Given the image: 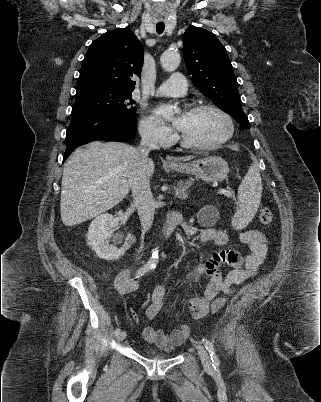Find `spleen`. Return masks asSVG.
Wrapping results in <instances>:
<instances>
[{
  "label": "spleen",
  "mask_w": 321,
  "mask_h": 402,
  "mask_svg": "<svg viewBox=\"0 0 321 402\" xmlns=\"http://www.w3.org/2000/svg\"><path fill=\"white\" fill-rule=\"evenodd\" d=\"M262 193V180L258 167L252 163L238 188L239 208L232 218L236 230L245 228L255 216Z\"/></svg>",
  "instance_id": "obj_1"
}]
</instances>
